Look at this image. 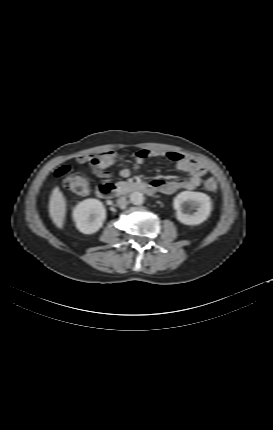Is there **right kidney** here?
<instances>
[{
	"instance_id": "right-kidney-1",
	"label": "right kidney",
	"mask_w": 273,
	"mask_h": 430,
	"mask_svg": "<svg viewBox=\"0 0 273 430\" xmlns=\"http://www.w3.org/2000/svg\"><path fill=\"white\" fill-rule=\"evenodd\" d=\"M106 218V210L97 199H86L80 202L73 211L77 229L84 234L97 232Z\"/></svg>"
}]
</instances>
